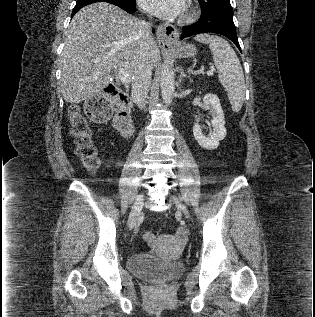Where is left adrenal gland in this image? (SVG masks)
Wrapping results in <instances>:
<instances>
[{"instance_id":"1","label":"left adrenal gland","mask_w":315,"mask_h":317,"mask_svg":"<svg viewBox=\"0 0 315 317\" xmlns=\"http://www.w3.org/2000/svg\"><path fill=\"white\" fill-rule=\"evenodd\" d=\"M179 73H180V75H179V82L182 81V78H183V77H184V78H188V79L190 80V82H192L191 77H190L189 75H187V74L184 72V69H183L182 67L179 68Z\"/></svg>"}]
</instances>
